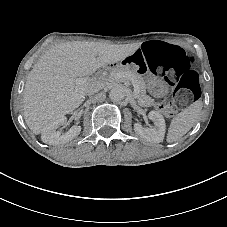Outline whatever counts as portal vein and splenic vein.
I'll return each instance as SVG.
<instances>
[{
	"instance_id": "1",
	"label": "portal vein and splenic vein",
	"mask_w": 227,
	"mask_h": 227,
	"mask_svg": "<svg viewBox=\"0 0 227 227\" xmlns=\"http://www.w3.org/2000/svg\"><path fill=\"white\" fill-rule=\"evenodd\" d=\"M126 75H127V73L126 74L121 73V74L118 75V77H119V79H124V80L130 79V80H132L133 85H134V94L135 95L138 94V92H139L138 91V84L136 83L135 79L133 78V76L127 77Z\"/></svg>"
}]
</instances>
